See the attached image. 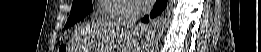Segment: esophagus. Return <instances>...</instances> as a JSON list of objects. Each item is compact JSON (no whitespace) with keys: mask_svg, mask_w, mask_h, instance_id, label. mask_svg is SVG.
<instances>
[{"mask_svg":"<svg viewBox=\"0 0 261 52\" xmlns=\"http://www.w3.org/2000/svg\"><path fill=\"white\" fill-rule=\"evenodd\" d=\"M147 27L143 26V25H138L137 27H135V32L137 33V35L139 34V31L141 30L144 31Z\"/></svg>","mask_w":261,"mask_h":52,"instance_id":"34e87169","label":"esophagus"}]
</instances>
